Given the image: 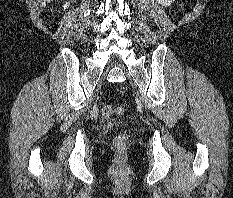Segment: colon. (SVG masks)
Returning a JSON list of instances; mask_svg holds the SVG:
<instances>
[{
  "instance_id": "colon-1",
  "label": "colon",
  "mask_w": 233,
  "mask_h": 198,
  "mask_svg": "<svg viewBox=\"0 0 233 198\" xmlns=\"http://www.w3.org/2000/svg\"><path fill=\"white\" fill-rule=\"evenodd\" d=\"M102 114L106 118H112L116 115H119L122 112L121 107H115L110 104H106L101 109ZM128 136L126 133H119L114 139V147L116 150L122 152L127 146Z\"/></svg>"
}]
</instances>
